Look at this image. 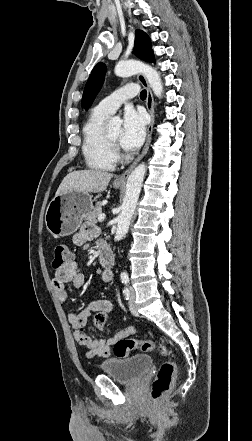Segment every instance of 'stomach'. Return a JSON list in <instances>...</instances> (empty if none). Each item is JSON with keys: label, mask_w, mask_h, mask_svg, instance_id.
Masks as SVG:
<instances>
[{"label": "stomach", "mask_w": 252, "mask_h": 441, "mask_svg": "<svg viewBox=\"0 0 252 441\" xmlns=\"http://www.w3.org/2000/svg\"><path fill=\"white\" fill-rule=\"evenodd\" d=\"M120 186L114 184V188ZM92 209L93 197L90 193L71 191L55 195L46 209V228L54 237L69 236L76 232Z\"/></svg>", "instance_id": "stomach-1"}]
</instances>
